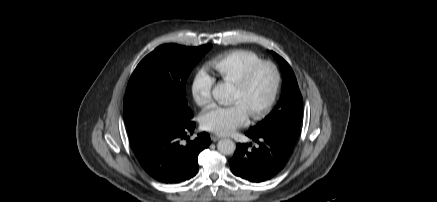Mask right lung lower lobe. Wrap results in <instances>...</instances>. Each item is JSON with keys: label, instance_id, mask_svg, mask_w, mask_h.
<instances>
[{"label": "right lung lower lobe", "instance_id": "obj_1", "mask_svg": "<svg viewBox=\"0 0 437 202\" xmlns=\"http://www.w3.org/2000/svg\"><path fill=\"white\" fill-rule=\"evenodd\" d=\"M194 129L191 120L161 124L154 135L134 146L143 169L163 183H179L194 177L198 172V155L211 143L206 132L189 141L187 135L193 134ZM183 140L188 143L183 144Z\"/></svg>", "mask_w": 437, "mask_h": 202}]
</instances>
